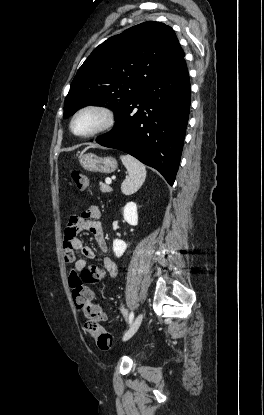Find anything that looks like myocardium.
I'll list each match as a JSON object with an SVG mask.
<instances>
[{
	"label": "myocardium",
	"instance_id": "f54148a6",
	"mask_svg": "<svg viewBox=\"0 0 264 415\" xmlns=\"http://www.w3.org/2000/svg\"><path fill=\"white\" fill-rule=\"evenodd\" d=\"M86 111L98 112L103 115L104 120L100 126L95 128L91 132L86 133V134H80L74 130V123L77 117ZM115 124H116V115L111 108L105 105H101V104H88V105L82 106L73 114L71 121H70V129L74 135L87 139V138H92L97 135L110 131L115 126Z\"/></svg>",
	"mask_w": 264,
	"mask_h": 415
}]
</instances>
